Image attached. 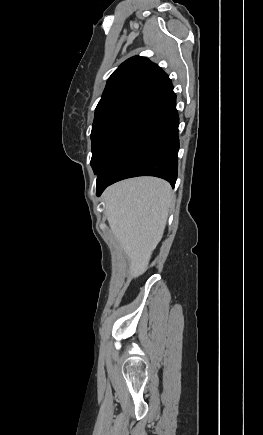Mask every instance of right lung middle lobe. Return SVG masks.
Wrapping results in <instances>:
<instances>
[{"instance_id":"dd1d6c3e","label":"right lung middle lobe","mask_w":263,"mask_h":435,"mask_svg":"<svg viewBox=\"0 0 263 435\" xmlns=\"http://www.w3.org/2000/svg\"><path fill=\"white\" fill-rule=\"evenodd\" d=\"M143 105L126 102L96 109L91 132V166L95 174L101 171L117 141Z\"/></svg>"}]
</instances>
